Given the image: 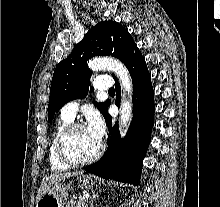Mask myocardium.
I'll return each mask as SVG.
<instances>
[{"instance_id":"f54148a6","label":"myocardium","mask_w":220,"mask_h":207,"mask_svg":"<svg viewBox=\"0 0 220 207\" xmlns=\"http://www.w3.org/2000/svg\"><path fill=\"white\" fill-rule=\"evenodd\" d=\"M84 128L81 123L72 122L69 123L59 134L56 141V152L57 156L61 162L68 165L69 167H81L88 164H91L98 160L104 152V145L100 142L97 151L89 158L85 160H74L66 152V141L70 134L76 129Z\"/></svg>"}]
</instances>
